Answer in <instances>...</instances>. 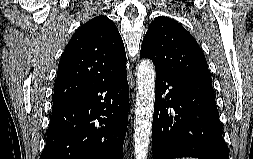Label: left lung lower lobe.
Masks as SVG:
<instances>
[{"instance_id": "obj_1", "label": "left lung lower lobe", "mask_w": 253, "mask_h": 159, "mask_svg": "<svg viewBox=\"0 0 253 159\" xmlns=\"http://www.w3.org/2000/svg\"><path fill=\"white\" fill-rule=\"evenodd\" d=\"M153 159H228L210 81L156 73Z\"/></svg>"}]
</instances>
